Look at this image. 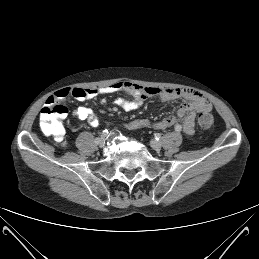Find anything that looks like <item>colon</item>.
Wrapping results in <instances>:
<instances>
[{
  "instance_id": "1",
  "label": "colon",
  "mask_w": 259,
  "mask_h": 259,
  "mask_svg": "<svg viewBox=\"0 0 259 259\" xmlns=\"http://www.w3.org/2000/svg\"><path fill=\"white\" fill-rule=\"evenodd\" d=\"M67 114V108L56 100H49L41 109L39 116V126L41 131L53 137L57 142H62L64 135L63 119ZM198 123L202 128H209L213 124V116L204 112L198 118Z\"/></svg>"
}]
</instances>
